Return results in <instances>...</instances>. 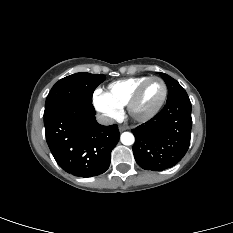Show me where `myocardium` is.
<instances>
[{
    "label": "myocardium",
    "mask_w": 233,
    "mask_h": 233,
    "mask_svg": "<svg viewBox=\"0 0 233 233\" xmlns=\"http://www.w3.org/2000/svg\"><path fill=\"white\" fill-rule=\"evenodd\" d=\"M153 80H158L161 82L162 86H163V94L162 97L160 99V101L158 102V104L150 111L146 112V113H138L136 111V106L138 104V101L142 95V92L144 90V88L146 87V85L153 81ZM167 94H168V88L167 85L165 83V81L158 76H151L148 77L147 79H145L133 92L132 96L130 97L128 103H127V111L128 114L130 115V117L132 119H134L135 121L138 122H145L149 119H151L152 117H154L163 107L166 98H167Z\"/></svg>",
    "instance_id": "f54148a6"
}]
</instances>
